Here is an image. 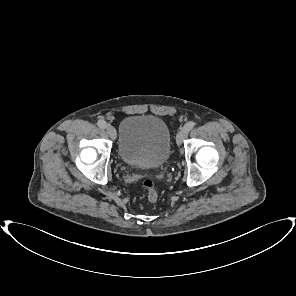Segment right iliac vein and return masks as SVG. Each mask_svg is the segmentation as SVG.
<instances>
[{"mask_svg":"<svg viewBox=\"0 0 296 296\" xmlns=\"http://www.w3.org/2000/svg\"><path fill=\"white\" fill-rule=\"evenodd\" d=\"M106 131L107 133L109 134V136L112 138V139H115L116 138V130L113 126L111 125H108L106 127Z\"/></svg>","mask_w":296,"mask_h":296,"instance_id":"1","label":"right iliac vein"}]
</instances>
